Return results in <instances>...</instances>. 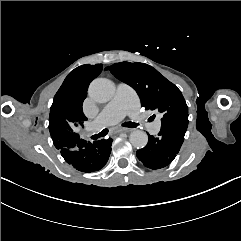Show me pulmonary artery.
<instances>
[{
    "label": "pulmonary artery",
    "instance_id": "pulmonary-artery-1",
    "mask_svg": "<svg viewBox=\"0 0 241 241\" xmlns=\"http://www.w3.org/2000/svg\"><path fill=\"white\" fill-rule=\"evenodd\" d=\"M138 103L139 98L133 90L126 84H120L114 98L88 123V130L91 133H98L106 127L118 124L128 115L130 108L136 107ZM140 126L149 134H154L159 128V123L154 118L144 117L140 121Z\"/></svg>",
    "mask_w": 241,
    "mask_h": 241
}]
</instances>
